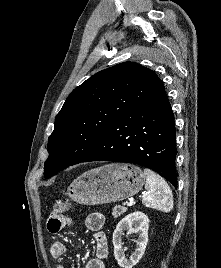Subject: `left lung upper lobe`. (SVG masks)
<instances>
[{
	"label": "left lung upper lobe",
	"instance_id": "1",
	"mask_svg": "<svg viewBox=\"0 0 221 268\" xmlns=\"http://www.w3.org/2000/svg\"><path fill=\"white\" fill-rule=\"evenodd\" d=\"M163 90L152 70L134 62L91 76L70 93L55 118L48 138L45 178L80 163L118 117Z\"/></svg>",
	"mask_w": 221,
	"mask_h": 268
}]
</instances>
